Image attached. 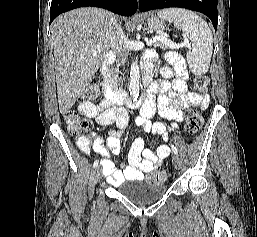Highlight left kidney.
Here are the masks:
<instances>
[{"label":"left kidney","mask_w":257,"mask_h":237,"mask_svg":"<svg viewBox=\"0 0 257 237\" xmlns=\"http://www.w3.org/2000/svg\"><path fill=\"white\" fill-rule=\"evenodd\" d=\"M160 74L164 78H171V77H173V71L169 67H162L160 69Z\"/></svg>","instance_id":"obj_1"}]
</instances>
